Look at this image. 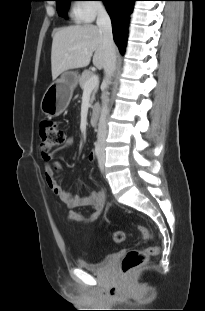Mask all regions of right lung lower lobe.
Segmentation results:
<instances>
[{
	"mask_svg": "<svg viewBox=\"0 0 205 311\" xmlns=\"http://www.w3.org/2000/svg\"><path fill=\"white\" fill-rule=\"evenodd\" d=\"M103 1L111 18L114 41L123 54L127 42L129 15L132 13L133 3L136 0Z\"/></svg>",
	"mask_w": 205,
	"mask_h": 311,
	"instance_id": "98d812e1",
	"label": "right lung lower lobe"
}]
</instances>
